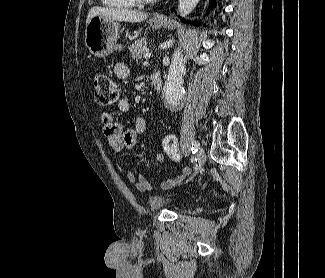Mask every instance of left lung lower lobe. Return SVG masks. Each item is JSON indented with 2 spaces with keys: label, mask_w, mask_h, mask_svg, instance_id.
Masks as SVG:
<instances>
[{
  "label": "left lung lower lobe",
  "mask_w": 325,
  "mask_h": 278,
  "mask_svg": "<svg viewBox=\"0 0 325 278\" xmlns=\"http://www.w3.org/2000/svg\"><path fill=\"white\" fill-rule=\"evenodd\" d=\"M213 2H214V0H210V3H209L210 6L213 5ZM182 21L185 22V20H182Z\"/></svg>",
  "instance_id": "1"
}]
</instances>
